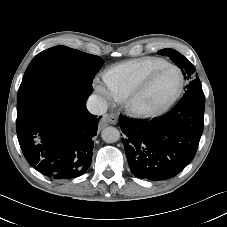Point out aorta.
Returning a JSON list of instances; mask_svg holds the SVG:
<instances>
[{"mask_svg": "<svg viewBox=\"0 0 227 227\" xmlns=\"http://www.w3.org/2000/svg\"><path fill=\"white\" fill-rule=\"evenodd\" d=\"M101 137L106 143H115L120 139V131L115 127L109 126L102 130Z\"/></svg>", "mask_w": 227, "mask_h": 227, "instance_id": "aorta-1", "label": "aorta"}]
</instances>
